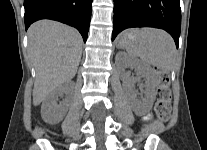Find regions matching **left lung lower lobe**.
Returning a JSON list of instances; mask_svg holds the SVG:
<instances>
[{
  "instance_id": "1",
  "label": "left lung lower lobe",
  "mask_w": 207,
  "mask_h": 150,
  "mask_svg": "<svg viewBox=\"0 0 207 150\" xmlns=\"http://www.w3.org/2000/svg\"><path fill=\"white\" fill-rule=\"evenodd\" d=\"M155 27L166 30L178 47L180 0H114L112 40L124 29Z\"/></svg>"
}]
</instances>
